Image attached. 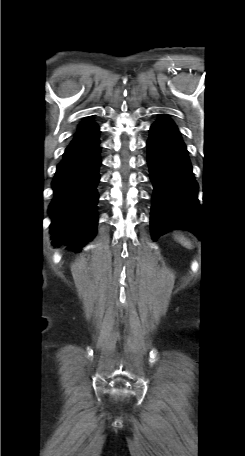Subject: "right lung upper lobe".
Instances as JSON below:
<instances>
[{"mask_svg": "<svg viewBox=\"0 0 245 456\" xmlns=\"http://www.w3.org/2000/svg\"><path fill=\"white\" fill-rule=\"evenodd\" d=\"M99 132V128L91 120L83 121L75 134L70 145L83 143L87 140L93 139Z\"/></svg>", "mask_w": 245, "mask_h": 456, "instance_id": "cb5924a9", "label": "right lung upper lobe"}]
</instances>
